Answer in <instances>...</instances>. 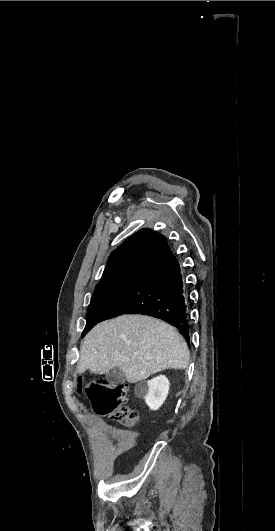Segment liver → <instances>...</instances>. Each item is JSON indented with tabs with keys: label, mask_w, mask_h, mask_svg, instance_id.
Wrapping results in <instances>:
<instances>
[{
	"label": "liver",
	"mask_w": 275,
	"mask_h": 531,
	"mask_svg": "<svg viewBox=\"0 0 275 531\" xmlns=\"http://www.w3.org/2000/svg\"><path fill=\"white\" fill-rule=\"evenodd\" d=\"M189 351L174 327L142 315H122L96 325L80 347L78 373L105 375L119 367L128 383L165 369H186Z\"/></svg>",
	"instance_id": "6515ba94"
}]
</instances>
